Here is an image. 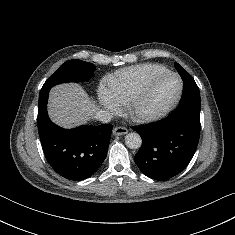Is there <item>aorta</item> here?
I'll return each mask as SVG.
<instances>
[{"mask_svg": "<svg viewBox=\"0 0 235 235\" xmlns=\"http://www.w3.org/2000/svg\"><path fill=\"white\" fill-rule=\"evenodd\" d=\"M125 144L130 149H138L141 147V136L136 132L128 133L125 137Z\"/></svg>", "mask_w": 235, "mask_h": 235, "instance_id": "762f6f07", "label": "aorta"}]
</instances>
